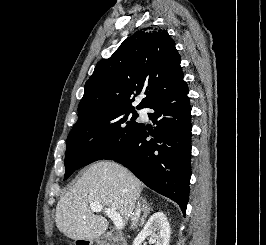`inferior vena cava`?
<instances>
[{"instance_id":"1","label":"inferior vena cava","mask_w":266,"mask_h":245,"mask_svg":"<svg viewBox=\"0 0 266 245\" xmlns=\"http://www.w3.org/2000/svg\"><path fill=\"white\" fill-rule=\"evenodd\" d=\"M140 201V195H138V197H135V199H133L131 205V211H130V217H131V227L130 229H136L137 225H138V221H139V217H140V213H141V205L139 203Z\"/></svg>"}]
</instances>
